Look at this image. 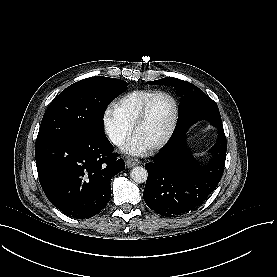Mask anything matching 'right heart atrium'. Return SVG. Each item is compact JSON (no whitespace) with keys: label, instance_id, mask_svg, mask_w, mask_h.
Returning a JSON list of instances; mask_svg holds the SVG:
<instances>
[{"label":"right heart atrium","instance_id":"right-heart-atrium-1","mask_svg":"<svg viewBox=\"0 0 277 277\" xmlns=\"http://www.w3.org/2000/svg\"><path fill=\"white\" fill-rule=\"evenodd\" d=\"M102 126L105 133L116 143L121 142L130 133L129 124L119 119L110 108L103 112Z\"/></svg>","mask_w":277,"mask_h":277}]
</instances>
